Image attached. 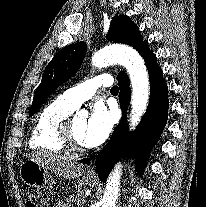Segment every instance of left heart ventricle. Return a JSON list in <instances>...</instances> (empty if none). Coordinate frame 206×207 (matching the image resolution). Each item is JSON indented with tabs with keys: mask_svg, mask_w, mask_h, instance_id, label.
I'll return each instance as SVG.
<instances>
[{
	"mask_svg": "<svg viewBox=\"0 0 206 207\" xmlns=\"http://www.w3.org/2000/svg\"><path fill=\"white\" fill-rule=\"evenodd\" d=\"M86 124H87L86 118H80V117L74 118L72 123L74 138L80 145L83 146H86L84 142V131L86 128Z\"/></svg>",
	"mask_w": 206,
	"mask_h": 207,
	"instance_id": "b2bd125f",
	"label": "left heart ventricle"
}]
</instances>
